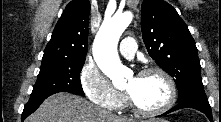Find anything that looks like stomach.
Segmentation results:
<instances>
[{
  "instance_id": "0dacf381",
  "label": "stomach",
  "mask_w": 221,
  "mask_h": 122,
  "mask_svg": "<svg viewBox=\"0 0 221 122\" xmlns=\"http://www.w3.org/2000/svg\"><path fill=\"white\" fill-rule=\"evenodd\" d=\"M146 122H168L167 120H164V119H150Z\"/></svg>"
}]
</instances>
